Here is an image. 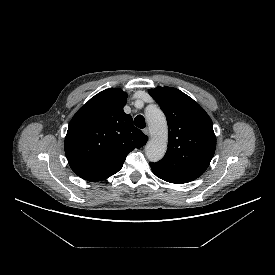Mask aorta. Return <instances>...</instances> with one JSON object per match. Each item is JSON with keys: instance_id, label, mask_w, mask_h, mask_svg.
I'll return each mask as SVG.
<instances>
[{"instance_id": "1", "label": "aorta", "mask_w": 275, "mask_h": 275, "mask_svg": "<svg viewBox=\"0 0 275 275\" xmlns=\"http://www.w3.org/2000/svg\"><path fill=\"white\" fill-rule=\"evenodd\" d=\"M146 118L149 125L151 139L146 144L145 153L151 162H157L163 158L167 150V122L165 115L158 108L147 109Z\"/></svg>"}]
</instances>
